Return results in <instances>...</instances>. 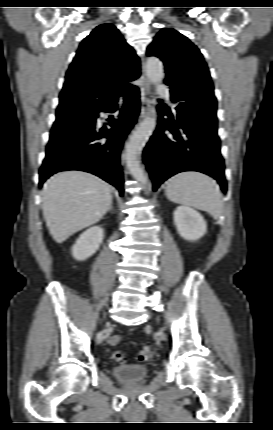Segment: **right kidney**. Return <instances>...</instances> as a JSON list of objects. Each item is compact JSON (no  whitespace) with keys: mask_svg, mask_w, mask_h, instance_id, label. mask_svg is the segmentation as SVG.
Returning <instances> with one entry per match:
<instances>
[{"mask_svg":"<svg viewBox=\"0 0 273 430\" xmlns=\"http://www.w3.org/2000/svg\"><path fill=\"white\" fill-rule=\"evenodd\" d=\"M104 237L100 226H93L86 230L72 246V255L76 260H86L99 249Z\"/></svg>","mask_w":273,"mask_h":430,"instance_id":"right-kidney-1","label":"right kidney"}]
</instances>
